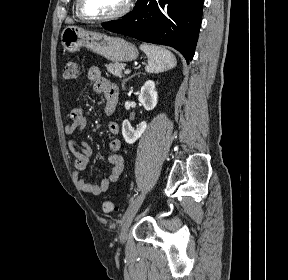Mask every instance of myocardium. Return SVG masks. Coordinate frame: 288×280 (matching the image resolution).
<instances>
[{"instance_id":"1","label":"myocardium","mask_w":288,"mask_h":280,"mask_svg":"<svg viewBox=\"0 0 288 280\" xmlns=\"http://www.w3.org/2000/svg\"><path fill=\"white\" fill-rule=\"evenodd\" d=\"M133 0H126L124 6L114 14L103 16V17H91L87 15L83 10V0H76V9L79 17L89 22H109L118 20L127 15L131 9Z\"/></svg>"}]
</instances>
